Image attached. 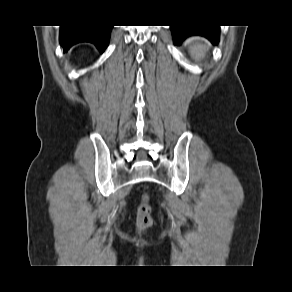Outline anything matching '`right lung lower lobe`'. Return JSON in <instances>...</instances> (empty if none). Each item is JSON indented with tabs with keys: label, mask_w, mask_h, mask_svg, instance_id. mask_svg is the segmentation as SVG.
I'll return each instance as SVG.
<instances>
[{
	"label": "right lung lower lobe",
	"mask_w": 292,
	"mask_h": 292,
	"mask_svg": "<svg viewBox=\"0 0 292 292\" xmlns=\"http://www.w3.org/2000/svg\"><path fill=\"white\" fill-rule=\"evenodd\" d=\"M112 26L110 25H78L62 26L60 42L64 52L79 42H90L104 52L110 37Z\"/></svg>",
	"instance_id": "right-lung-lower-lobe-1"
}]
</instances>
